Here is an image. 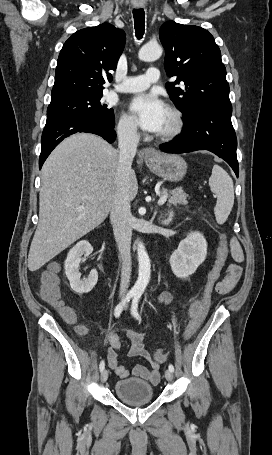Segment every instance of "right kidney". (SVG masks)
I'll list each match as a JSON object with an SVG mask.
<instances>
[{
  "label": "right kidney",
  "instance_id": "1",
  "mask_svg": "<svg viewBox=\"0 0 272 455\" xmlns=\"http://www.w3.org/2000/svg\"><path fill=\"white\" fill-rule=\"evenodd\" d=\"M93 251L91 244L86 241H80L73 246L65 260V273L70 282V286L76 293H88L90 292L97 283L98 273L96 269L91 270L88 278L81 279L80 263L85 261V258L89 256ZM85 256L82 258V256Z\"/></svg>",
  "mask_w": 272,
  "mask_h": 455
}]
</instances>
